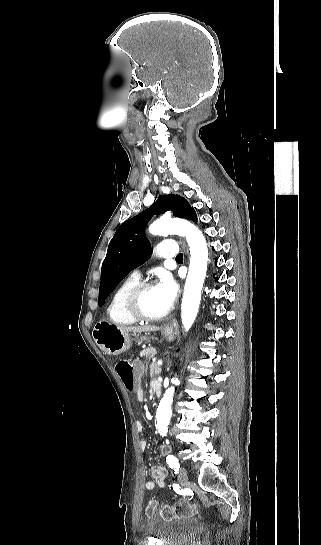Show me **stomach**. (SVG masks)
Returning <instances> with one entry per match:
<instances>
[{
  "label": "stomach",
  "instance_id": "obj_1",
  "mask_svg": "<svg viewBox=\"0 0 321 545\" xmlns=\"http://www.w3.org/2000/svg\"><path fill=\"white\" fill-rule=\"evenodd\" d=\"M177 329V323H170L161 329L162 335L168 341H173L175 331ZM151 333H145L144 337L136 339V343H142V341H148V339H153L150 337ZM93 339L107 355H120L124 353L127 349H130L133 345V335L132 333H122L120 329H117L116 325H111L107 321H98L93 329Z\"/></svg>",
  "mask_w": 321,
  "mask_h": 545
}]
</instances>
